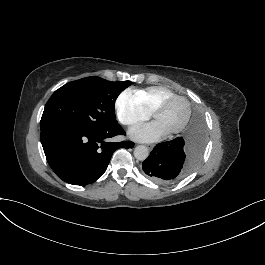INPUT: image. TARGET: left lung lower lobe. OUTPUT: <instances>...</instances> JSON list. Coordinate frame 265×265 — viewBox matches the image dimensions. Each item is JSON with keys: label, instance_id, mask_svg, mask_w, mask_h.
<instances>
[{"label": "left lung lower lobe", "instance_id": "1", "mask_svg": "<svg viewBox=\"0 0 265 265\" xmlns=\"http://www.w3.org/2000/svg\"><path fill=\"white\" fill-rule=\"evenodd\" d=\"M205 127L200 114L193 116L182 136L157 144L143 162L144 173L160 184L175 183L198 164L205 146Z\"/></svg>", "mask_w": 265, "mask_h": 265}]
</instances>
